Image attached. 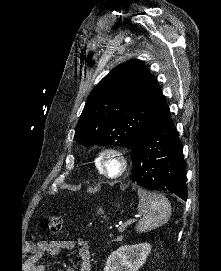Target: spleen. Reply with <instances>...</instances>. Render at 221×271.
I'll use <instances>...</instances> for the list:
<instances>
[{
	"instance_id": "obj_1",
	"label": "spleen",
	"mask_w": 221,
	"mask_h": 271,
	"mask_svg": "<svg viewBox=\"0 0 221 271\" xmlns=\"http://www.w3.org/2000/svg\"><path fill=\"white\" fill-rule=\"evenodd\" d=\"M138 197L137 215L140 219L136 227L137 231H150L163 223H168L171 217V205L165 195L151 193L139 187Z\"/></svg>"
}]
</instances>
